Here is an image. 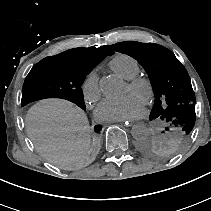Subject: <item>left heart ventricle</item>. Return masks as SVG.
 Instances as JSON below:
<instances>
[{"instance_id":"b2bd125f","label":"left heart ventricle","mask_w":211,"mask_h":211,"mask_svg":"<svg viewBox=\"0 0 211 211\" xmlns=\"http://www.w3.org/2000/svg\"><path fill=\"white\" fill-rule=\"evenodd\" d=\"M128 92L137 95V96L144 102L145 96H144L143 93H141V92H133V91L130 90L129 86L127 85V86H126V91H125V93H128Z\"/></svg>"}]
</instances>
